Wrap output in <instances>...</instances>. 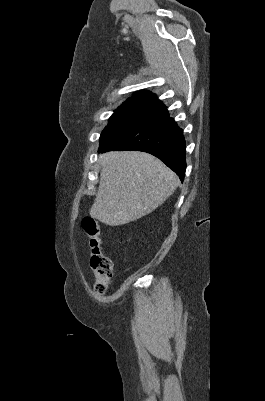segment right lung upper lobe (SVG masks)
<instances>
[{
    "label": "right lung upper lobe",
    "mask_w": 265,
    "mask_h": 401,
    "mask_svg": "<svg viewBox=\"0 0 265 401\" xmlns=\"http://www.w3.org/2000/svg\"><path fill=\"white\" fill-rule=\"evenodd\" d=\"M128 104H150L165 108V105L157 98V96L148 91H139L134 93V95L127 99V101L122 105Z\"/></svg>",
    "instance_id": "cb5924a9"
}]
</instances>
